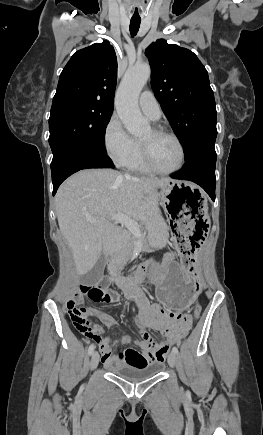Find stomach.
<instances>
[{
  "label": "stomach",
  "instance_id": "stomach-1",
  "mask_svg": "<svg viewBox=\"0 0 263 435\" xmlns=\"http://www.w3.org/2000/svg\"><path fill=\"white\" fill-rule=\"evenodd\" d=\"M174 238L175 258H162L159 268H153L143 276L152 282L158 305L165 310H189L194 305L202 279H197L199 247H204L207 233H211L212 217L207 216V199L202 191L188 181L174 180L161 187L158 193Z\"/></svg>",
  "mask_w": 263,
  "mask_h": 435
}]
</instances>
